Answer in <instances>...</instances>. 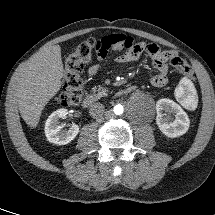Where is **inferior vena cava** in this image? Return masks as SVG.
I'll return each instance as SVG.
<instances>
[{"mask_svg":"<svg viewBox=\"0 0 215 215\" xmlns=\"http://www.w3.org/2000/svg\"><path fill=\"white\" fill-rule=\"evenodd\" d=\"M104 112L105 108L101 103H94L93 105L90 106L89 109L90 116L96 119L102 117Z\"/></svg>","mask_w":215,"mask_h":215,"instance_id":"1","label":"inferior vena cava"}]
</instances>
